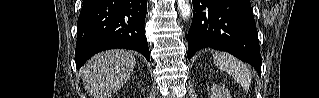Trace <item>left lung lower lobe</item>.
I'll return each instance as SVG.
<instances>
[{"mask_svg":"<svg viewBox=\"0 0 319 98\" xmlns=\"http://www.w3.org/2000/svg\"><path fill=\"white\" fill-rule=\"evenodd\" d=\"M188 59L201 48L226 51L261 73L259 41L249 0H192Z\"/></svg>","mask_w":319,"mask_h":98,"instance_id":"obj_1","label":"left lung lower lobe"}]
</instances>
